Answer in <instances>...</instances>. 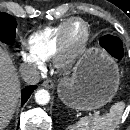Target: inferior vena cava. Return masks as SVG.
<instances>
[{"mask_svg": "<svg viewBox=\"0 0 130 130\" xmlns=\"http://www.w3.org/2000/svg\"><path fill=\"white\" fill-rule=\"evenodd\" d=\"M20 71L23 79L27 84L35 85L40 81V72L35 65L22 64Z\"/></svg>", "mask_w": 130, "mask_h": 130, "instance_id": "obj_1", "label": "inferior vena cava"}]
</instances>
